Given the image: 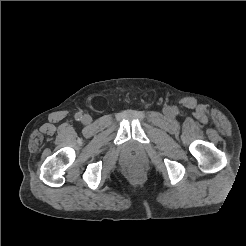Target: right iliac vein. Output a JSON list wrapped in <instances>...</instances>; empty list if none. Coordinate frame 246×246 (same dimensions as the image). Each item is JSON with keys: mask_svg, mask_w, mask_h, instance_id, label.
<instances>
[{"mask_svg": "<svg viewBox=\"0 0 246 246\" xmlns=\"http://www.w3.org/2000/svg\"><path fill=\"white\" fill-rule=\"evenodd\" d=\"M82 122L84 123V124H89L90 122H91V116L90 115H84L83 117H82Z\"/></svg>", "mask_w": 246, "mask_h": 246, "instance_id": "obj_1", "label": "right iliac vein"}]
</instances>
